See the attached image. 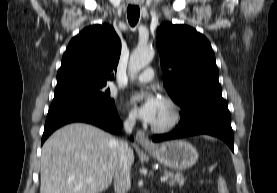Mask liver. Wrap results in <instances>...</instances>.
<instances>
[{
	"label": "liver",
	"mask_w": 277,
	"mask_h": 193,
	"mask_svg": "<svg viewBox=\"0 0 277 193\" xmlns=\"http://www.w3.org/2000/svg\"><path fill=\"white\" fill-rule=\"evenodd\" d=\"M118 141L84 123L64 126L42 147L40 193H99L118 169ZM134 162L130 148L129 164Z\"/></svg>",
	"instance_id": "obj_1"
}]
</instances>
